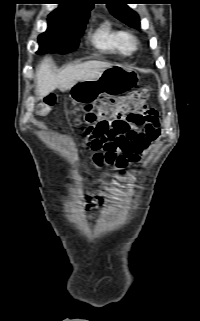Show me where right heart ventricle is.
<instances>
[{"label": "right heart ventricle", "mask_w": 200, "mask_h": 321, "mask_svg": "<svg viewBox=\"0 0 200 321\" xmlns=\"http://www.w3.org/2000/svg\"><path fill=\"white\" fill-rule=\"evenodd\" d=\"M128 33L105 20L95 29L91 36L92 44L99 50L124 58L131 54L127 45Z\"/></svg>", "instance_id": "e07e8e85"}]
</instances>
